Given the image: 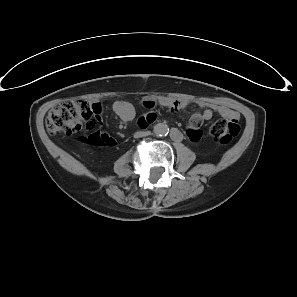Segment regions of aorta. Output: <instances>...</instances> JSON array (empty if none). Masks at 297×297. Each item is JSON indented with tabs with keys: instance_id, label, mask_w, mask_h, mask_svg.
Wrapping results in <instances>:
<instances>
[{
	"instance_id": "1",
	"label": "aorta",
	"mask_w": 297,
	"mask_h": 297,
	"mask_svg": "<svg viewBox=\"0 0 297 297\" xmlns=\"http://www.w3.org/2000/svg\"><path fill=\"white\" fill-rule=\"evenodd\" d=\"M169 128L164 123H158L154 126V133L159 136H163L168 134Z\"/></svg>"
}]
</instances>
